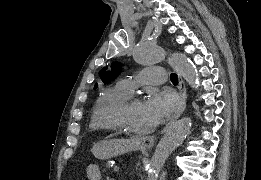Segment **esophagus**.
<instances>
[{"label":"esophagus","mask_w":261,"mask_h":180,"mask_svg":"<svg viewBox=\"0 0 261 180\" xmlns=\"http://www.w3.org/2000/svg\"><path fill=\"white\" fill-rule=\"evenodd\" d=\"M166 60L169 64H171L169 57H167ZM177 73L179 81L180 105L177 112L174 114L169 123H167V125L162 130V133H165L169 129V127L175 122V120H177V118H179L180 115H182L186 107V86L181 73L179 71H177ZM137 140L143 147L152 148L154 146L156 136H140L137 138Z\"/></svg>","instance_id":"1"}]
</instances>
